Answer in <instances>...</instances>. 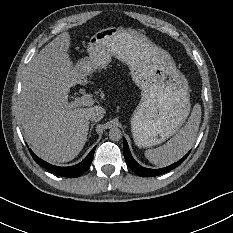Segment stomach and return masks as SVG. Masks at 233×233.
I'll return each instance as SVG.
<instances>
[{"mask_svg":"<svg viewBox=\"0 0 233 233\" xmlns=\"http://www.w3.org/2000/svg\"><path fill=\"white\" fill-rule=\"evenodd\" d=\"M86 50L87 56L74 66L80 78L107 68L114 57L129 66L141 88V102L131 121L136 145L152 147L176 133L190 112L189 88L164 50L144 34L121 27L97 31Z\"/></svg>","mask_w":233,"mask_h":233,"instance_id":"stomach-1","label":"stomach"}]
</instances>
